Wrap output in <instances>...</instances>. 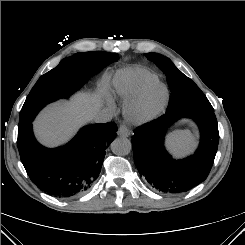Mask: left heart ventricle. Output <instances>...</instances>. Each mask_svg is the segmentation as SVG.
<instances>
[{
	"label": "left heart ventricle",
	"instance_id": "left-heart-ventricle-1",
	"mask_svg": "<svg viewBox=\"0 0 245 245\" xmlns=\"http://www.w3.org/2000/svg\"><path fill=\"white\" fill-rule=\"evenodd\" d=\"M163 91L160 87H153L148 92L146 102L144 105V110H149L154 108L161 100Z\"/></svg>",
	"mask_w": 245,
	"mask_h": 245
}]
</instances>
